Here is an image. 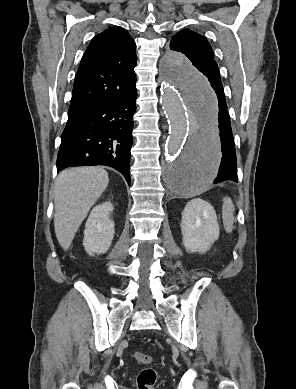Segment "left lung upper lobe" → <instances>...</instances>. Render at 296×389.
Here are the masks:
<instances>
[{
    "label": "left lung upper lobe",
    "mask_w": 296,
    "mask_h": 389,
    "mask_svg": "<svg viewBox=\"0 0 296 389\" xmlns=\"http://www.w3.org/2000/svg\"><path fill=\"white\" fill-rule=\"evenodd\" d=\"M170 49L186 55L206 78L218 72L210 44L204 36L194 31L184 29L176 33L170 42Z\"/></svg>",
    "instance_id": "1"
}]
</instances>
